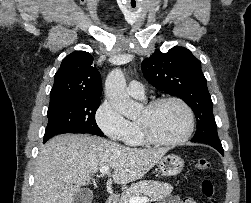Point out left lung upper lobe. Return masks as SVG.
Returning a JSON list of instances; mask_svg holds the SVG:
<instances>
[{
  "instance_id": "obj_1",
  "label": "left lung upper lobe",
  "mask_w": 251,
  "mask_h": 203,
  "mask_svg": "<svg viewBox=\"0 0 251 203\" xmlns=\"http://www.w3.org/2000/svg\"><path fill=\"white\" fill-rule=\"evenodd\" d=\"M146 80L159 90L184 100L194 111L197 130L192 142L221 144L213 116V103L200 61L186 48L156 51L141 64Z\"/></svg>"
}]
</instances>
